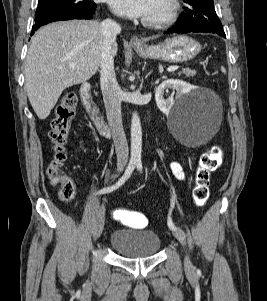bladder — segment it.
Listing matches in <instances>:
<instances>
[{
  "instance_id": "1",
  "label": "bladder",
  "mask_w": 267,
  "mask_h": 301,
  "mask_svg": "<svg viewBox=\"0 0 267 301\" xmlns=\"http://www.w3.org/2000/svg\"><path fill=\"white\" fill-rule=\"evenodd\" d=\"M110 246L123 257L144 258L159 251L161 240L152 230L119 229L112 233Z\"/></svg>"
}]
</instances>
